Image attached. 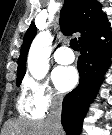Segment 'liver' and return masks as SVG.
Wrapping results in <instances>:
<instances>
[{
	"instance_id": "6515ba94",
	"label": "liver",
	"mask_w": 112,
	"mask_h": 135,
	"mask_svg": "<svg viewBox=\"0 0 112 135\" xmlns=\"http://www.w3.org/2000/svg\"><path fill=\"white\" fill-rule=\"evenodd\" d=\"M2 135H53L51 125L46 121L8 120Z\"/></svg>"
}]
</instances>
